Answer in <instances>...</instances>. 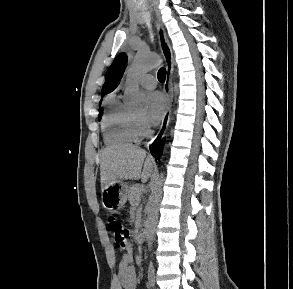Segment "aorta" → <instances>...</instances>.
<instances>
[{
  "mask_svg": "<svg viewBox=\"0 0 293 289\" xmlns=\"http://www.w3.org/2000/svg\"><path fill=\"white\" fill-rule=\"evenodd\" d=\"M161 60L156 56L146 55L139 53L132 64L127 79L126 97L128 103L131 105H142L145 100V94L139 89L137 82L138 77L152 69L159 67ZM162 180L163 174L161 173L156 184L152 189V193L149 197L147 207V219L145 223V237L148 244V248L151 249L155 229L158 220L159 204L162 198Z\"/></svg>",
  "mask_w": 293,
  "mask_h": 289,
  "instance_id": "aorta-1",
  "label": "aorta"
}]
</instances>
